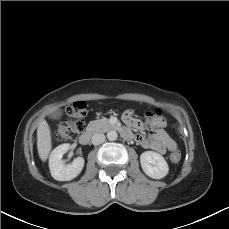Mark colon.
Here are the masks:
<instances>
[{
    "label": "colon",
    "mask_w": 229,
    "mask_h": 229,
    "mask_svg": "<svg viewBox=\"0 0 229 229\" xmlns=\"http://www.w3.org/2000/svg\"><path fill=\"white\" fill-rule=\"evenodd\" d=\"M87 114L86 104L82 101L75 102L67 108L68 119L60 120L54 131V139L56 141H70L77 137L84 129V121ZM146 125L153 128V121L146 120ZM170 159L173 163L181 160V153L175 144L170 146Z\"/></svg>",
    "instance_id": "1"
}]
</instances>
